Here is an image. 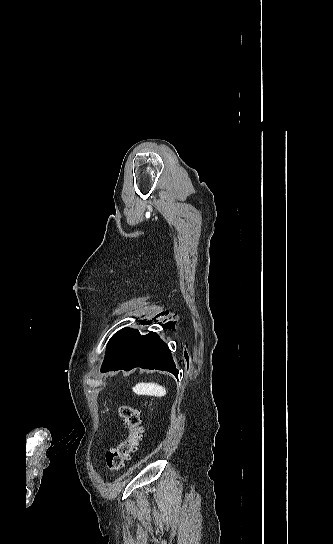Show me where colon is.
<instances>
[{
	"label": "colon",
	"mask_w": 333,
	"mask_h": 544,
	"mask_svg": "<svg viewBox=\"0 0 333 544\" xmlns=\"http://www.w3.org/2000/svg\"><path fill=\"white\" fill-rule=\"evenodd\" d=\"M118 414L125 422L128 434L124 441L117 447L107 451L105 455L106 465L112 474L118 473L125 467L131 454L137 450L143 436L142 418L136 408L129 405H120Z\"/></svg>",
	"instance_id": "5ec220e1"
}]
</instances>
